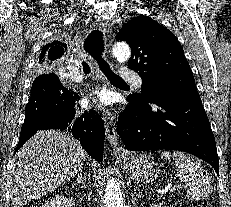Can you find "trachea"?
Segmentation results:
<instances>
[{
    "mask_svg": "<svg viewBox=\"0 0 231 207\" xmlns=\"http://www.w3.org/2000/svg\"><path fill=\"white\" fill-rule=\"evenodd\" d=\"M84 49L98 64L100 70L110 82L125 83V81L122 78H120L111 70L109 64L103 58L104 44L102 31H91L85 39ZM82 66L85 74H89L91 72L88 63L82 62Z\"/></svg>",
    "mask_w": 231,
    "mask_h": 207,
    "instance_id": "obj_1",
    "label": "trachea"
}]
</instances>
